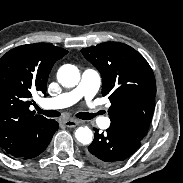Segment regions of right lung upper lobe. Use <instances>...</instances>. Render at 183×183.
I'll return each instance as SVG.
<instances>
[{"mask_svg": "<svg viewBox=\"0 0 183 183\" xmlns=\"http://www.w3.org/2000/svg\"><path fill=\"white\" fill-rule=\"evenodd\" d=\"M67 52L35 43L16 47L0 59V147L8 155H25L34 134L50 120L29 109L31 97L35 91L46 94L48 75Z\"/></svg>", "mask_w": 183, "mask_h": 183, "instance_id": "obj_1", "label": "right lung upper lobe"}]
</instances>
